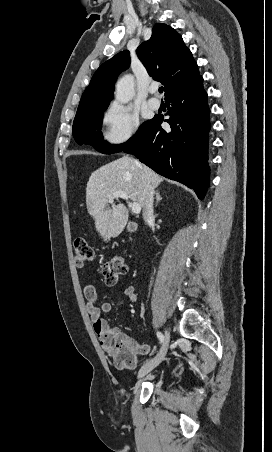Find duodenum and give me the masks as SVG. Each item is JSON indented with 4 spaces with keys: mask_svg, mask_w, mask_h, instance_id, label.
<instances>
[{
    "mask_svg": "<svg viewBox=\"0 0 272 452\" xmlns=\"http://www.w3.org/2000/svg\"><path fill=\"white\" fill-rule=\"evenodd\" d=\"M129 229L132 231H136L137 230V224L136 223H129Z\"/></svg>",
    "mask_w": 272,
    "mask_h": 452,
    "instance_id": "1",
    "label": "duodenum"
}]
</instances>
